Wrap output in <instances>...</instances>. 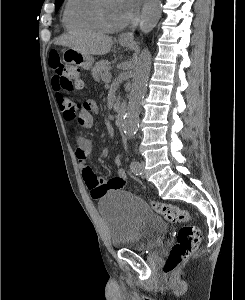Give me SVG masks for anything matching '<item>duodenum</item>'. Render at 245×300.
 I'll return each mask as SVG.
<instances>
[{
  "instance_id": "1",
  "label": "duodenum",
  "mask_w": 245,
  "mask_h": 300,
  "mask_svg": "<svg viewBox=\"0 0 245 300\" xmlns=\"http://www.w3.org/2000/svg\"><path fill=\"white\" fill-rule=\"evenodd\" d=\"M123 120H124V109L122 107H120L116 111V115H115V124H116V126H118V127L122 126Z\"/></svg>"
}]
</instances>
